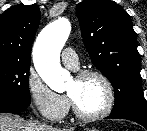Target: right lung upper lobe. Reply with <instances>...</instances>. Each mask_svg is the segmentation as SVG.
<instances>
[{
  "instance_id": "cb5924a9",
  "label": "right lung upper lobe",
  "mask_w": 147,
  "mask_h": 131,
  "mask_svg": "<svg viewBox=\"0 0 147 131\" xmlns=\"http://www.w3.org/2000/svg\"><path fill=\"white\" fill-rule=\"evenodd\" d=\"M40 23L36 4H18L0 16V61L30 64L32 42Z\"/></svg>"
}]
</instances>
